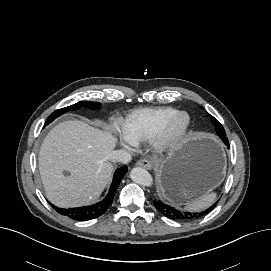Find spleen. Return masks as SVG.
I'll use <instances>...</instances> for the list:
<instances>
[{"label":"spleen","mask_w":271,"mask_h":271,"mask_svg":"<svg viewBox=\"0 0 271 271\" xmlns=\"http://www.w3.org/2000/svg\"><path fill=\"white\" fill-rule=\"evenodd\" d=\"M216 199V193H207L201 198L187 204L186 209L190 211H199L209 207Z\"/></svg>","instance_id":"1"}]
</instances>
